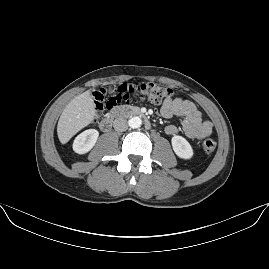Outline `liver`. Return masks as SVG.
Returning a JSON list of instances; mask_svg holds the SVG:
<instances>
[{"instance_id":"6515ba94","label":"liver","mask_w":269,"mask_h":269,"mask_svg":"<svg viewBox=\"0 0 269 269\" xmlns=\"http://www.w3.org/2000/svg\"><path fill=\"white\" fill-rule=\"evenodd\" d=\"M94 114V103L88 91L72 99L65 107L58 122L57 132L60 141L66 143L93 120Z\"/></svg>"}]
</instances>
